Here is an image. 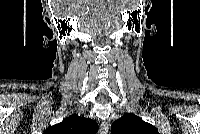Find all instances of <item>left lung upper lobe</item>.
<instances>
[{
    "label": "left lung upper lobe",
    "mask_w": 200,
    "mask_h": 134,
    "mask_svg": "<svg viewBox=\"0 0 200 134\" xmlns=\"http://www.w3.org/2000/svg\"><path fill=\"white\" fill-rule=\"evenodd\" d=\"M112 134H159L151 124L134 114H126L111 126Z\"/></svg>",
    "instance_id": "5c2ea615"
}]
</instances>
